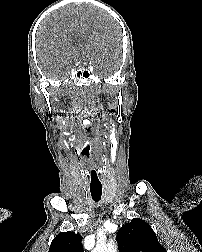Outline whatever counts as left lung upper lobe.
Returning a JSON list of instances; mask_svg holds the SVG:
<instances>
[{"instance_id":"5c2ea615","label":"left lung upper lobe","mask_w":202,"mask_h":252,"mask_svg":"<svg viewBox=\"0 0 202 252\" xmlns=\"http://www.w3.org/2000/svg\"><path fill=\"white\" fill-rule=\"evenodd\" d=\"M117 242L120 252H166L151 226L139 218L132 219L119 229Z\"/></svg>"}]
</instances>
